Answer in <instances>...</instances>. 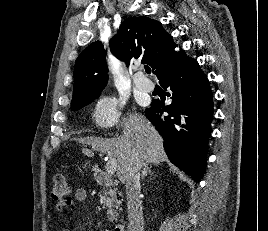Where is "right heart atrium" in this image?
Instances as JSON below:
<instances>
[{
	"label": "right heart atrium",
	"mask_w": 268,
	"mask_h": 231,
	"mask_svg": "<svg viewBox=\"0 0 268 231\" xmlns=\"http://www.w3.org/2000/svg\"><path fill=\"white\" fill-rule=\"evenodd\" d=\"M123 107L119 97L103 95L97 99L92 109L96 125L102 129H112L117 123Z\"/></svg>",
	"instance_id": "1"
}]
</instances>
